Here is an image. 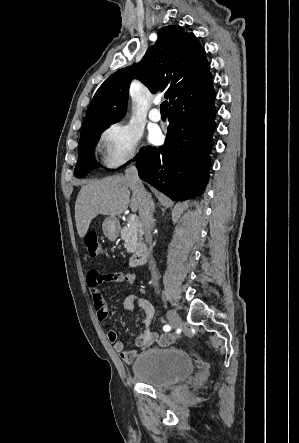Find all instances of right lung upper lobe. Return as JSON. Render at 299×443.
Returning a JSON list of instances; mask_svg holds the SVG:
<instances>
[{"instance_id":"obj_1","label":"right lung upper lobe","mask_w":299,"mask_h":443,"mask_svg":"<svg viewBox=\"0 0 299 443\" xmlns=\"http://www.w3.org/2000/svg\"><path fill=\"white\" fill-rule=\"evenodd\" d=\"M209 69L205 50L193 33L184 32L180 26L164 27L141 62L118 70L98 88L86 113L81 136L125 116L132 78L140 80L151 93L167 89L165 98L170 105L200 83Z\"/></svg>"}]
</instances>
